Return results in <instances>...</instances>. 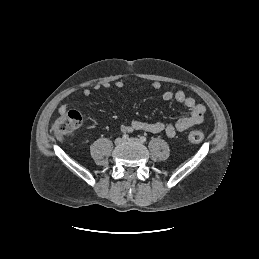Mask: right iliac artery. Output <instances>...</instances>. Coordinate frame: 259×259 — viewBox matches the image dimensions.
Listing matches in <instances>:
<instances>
[{
	"label": "right iliac artery",
	"instance_id": "obj_1",
	"mask_svg": "<svg viewBox=\"0 0 259 259\" xmlns=\"http://www.w3.org/2000/svg\"><path fill=\"white\" fill-rule=\"evenodd\" d=\"M122 138H123L124 140H127V139H129V135H128V134H124V135L122 136Z\"/></svg>",
	"mask_w": 259,
	"mask_h": 259
}]
</instances>
